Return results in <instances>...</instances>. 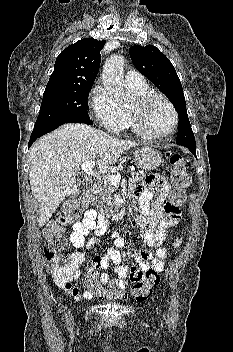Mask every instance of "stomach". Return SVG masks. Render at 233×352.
<instances>
[{
  "mask_svg": "<svg viewBox=\"0 0 233 352\" xmlns=\"http://www.w3.org/2000/svg\"><path fill=\"white\" fill-rule=\"evenodd\" d=\"M134 161L140 169L150 171L161 164L162 156L151 147H142L134 152Z\"/></svg>",
  "mask_w": 233,
  "mask_h": 352,
  "instance_id": "stomach-1",
  "label": "stomach"
}]
</instances>
